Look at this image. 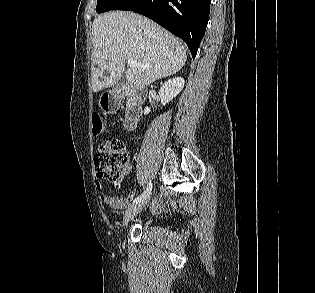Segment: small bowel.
Returning <instances> with one entry per match:
<instances>
[{
  "instance_id": "1",
  "label": "small bowel",
  "mask_w": 315,
  "mask_h": 293,
  "mask_svg": "<svg viewBox=\"0 0 315 293\" xmlns=\"http://www.w3.org/2000/svg\"><path fill=\"white\" fill-rule=\"evenodd\" d=\"M102 187H103L102 183L99 180H97L96 188L98 190H102ZM100 199L104 204L108 205L111 209H115V210L123 209L128 204V198L126 197H116L109 194H101ZM163 208H164V205L161 201H157L153 205L154 211H161Z\"/></svg>"
}]
</instances>
